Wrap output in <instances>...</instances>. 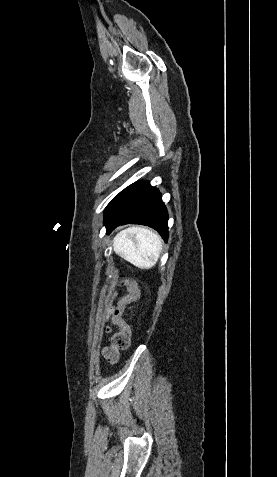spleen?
Here are the masks:
<instances>
[{
  "label": "spleen",
  "mask_w": 277,
  "mask_h": 477,
  "mask_svg": "<svg viewBox=\"0 0 277 477\" xmlns=\"http://www.w3.org/2000/svg\"><path fill=\"white\" fill-rule=\"evenodd\" d=\"M116 254L141 269H151L157 263L162 249L160 236L143 227H130L113 239Z\"/></svg>",
  "instance_id": "3e777b00"
}]
</instances>
